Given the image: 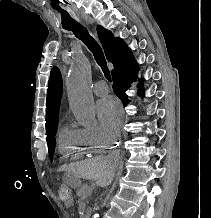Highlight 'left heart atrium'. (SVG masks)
Here are the masks:
<instances>
[{"label": "left heart atrium", "mask_w": 211, "mask_h": 218, "mask_svg": "<svg viewBox=\"0 0 211 218\" xmlns=\"http://www.w3.org/2000/svg\"><path fill=\"white\" fill-rule=\"evenodd\" d=\"M97 113L103 127L111 134H115L122 119V109L113 97H106L98 102Z\"/></svg>", "instance_id": "obj_1"}]
</instances>
